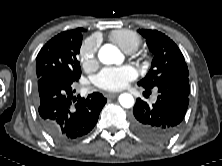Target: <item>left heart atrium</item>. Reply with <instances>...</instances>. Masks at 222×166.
<instances>
[{
  "mask_svg": "<svg viewBox=\"0 0 222 166\" xmlns=\"http://www.w3.org/2000/svg\"><path fill=\"white\" fill-rule=\"evenodd\" d=\"M136 70L129 65L107 67L101 70L93 79L94 84L107 91H119L136 79Z\"/></svg>",
  "mask_w": 222,
  "mask_h": 166,
  "instance_id": "39dd6f15",
  "label": "left heart atrium"
}]
</instances>
